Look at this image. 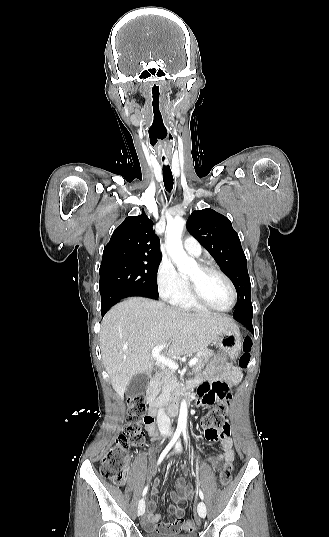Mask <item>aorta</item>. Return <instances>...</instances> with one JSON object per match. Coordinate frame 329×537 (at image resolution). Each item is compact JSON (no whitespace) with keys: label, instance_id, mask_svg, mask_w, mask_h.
<instances>
[{"label":"aorta","instance_id":"762f6f07","mask_svg":"<svg viewBox=\"0 0 329 537\" xmlns=\"http://www.w3.org/2000/svg\"><path fill=\"white\" fill-rule=\"evenodd\" d=\"M185 226V220L182 218H175L167 224L166 228V245L167 251L172 261L177 266L181 273H189L191 270L197 268V262L189 257L183 249L181 235ZM187 403L185 400L181 402L178 426L186 427L187 424Z\"/></svg>","mask_w":329,"mask_h":537}]
</instances>
